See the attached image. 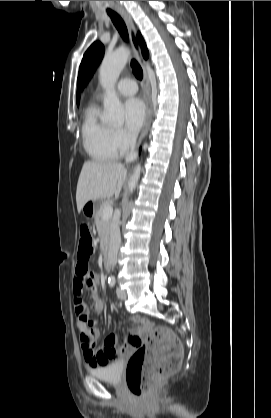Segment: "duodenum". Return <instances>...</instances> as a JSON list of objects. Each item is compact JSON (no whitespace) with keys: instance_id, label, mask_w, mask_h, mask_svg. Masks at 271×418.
I'll return each mask as SVG.
<instances>
[{"instance_id":"410a0bca","label":"duodenum","mask_w":271,"mask_h":418,"mask_svg":"<svg viewBox=\"0 0 271 418\" xmlns=\"http://www.w3.org/2000/svg\"><path fill=\"white\" fill-rule=\"evenodd\" d=\"M103 265L106 270H109L111 267V254L107 251L104 255Z\"/></svg>"}]
</instances>
